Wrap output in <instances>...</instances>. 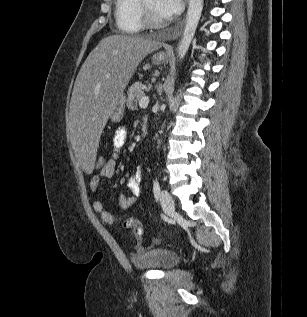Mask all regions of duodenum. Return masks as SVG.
I'll return each instance as SVG.
<instances>
[{
    "instance_id": "duodenum-1",
    "label": "duodenum",
    "mask_w": 307,
    "mask_h": 317,
    "mask_svg": "<svg viewBox=\"0 0 307 317\" xmlns=\"http://www.w3.org/2000/svg\"><path fill=\"white\" fill-rule=\"evenodd\" d=\"M141 131H142V134H143V135H146V134H147L148 124H147V122H146L145 120L142 121V123H141Z\"/></svg>"
}]
</instances>
